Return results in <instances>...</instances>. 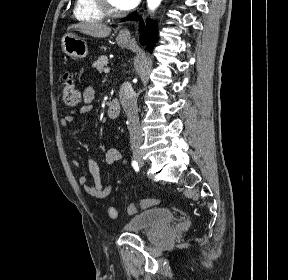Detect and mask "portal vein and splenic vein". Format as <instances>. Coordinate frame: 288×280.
<instances>
[{
    "instance_id": "obj_1",
    "label": "portal vein and splenic vein",
    "mask_w": 288,
    "mask_h": 280,
    "mask_svg": "<svg viewBox=\"0 0 288 280\" xmlns=\"http://www.w3.org/2000/svg\"><path fill=\"white\" fill-rule=\"evenodd\" d=\"M104 72H105V73H109V72H110V69L107 67V68L104 69Z\"/></svg>"
}]
</instances>
